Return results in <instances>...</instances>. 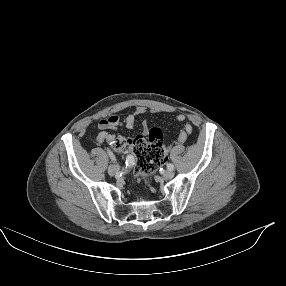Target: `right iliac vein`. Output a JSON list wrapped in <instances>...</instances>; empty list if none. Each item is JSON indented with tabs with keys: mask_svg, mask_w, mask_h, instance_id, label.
<instances>
[{
	"mask_svg": "<svg viewBox=\"0 0 286 286\" xmlns=\"http://www.w3.org/2000/svg\"><path fill=\"white\" fill-rule=\"evenodd\" d=\"M119 170H120L119 165H111L108 168V173H109V175L114 176L119 172Z\"/></svg>",
	"mask_w": 286,
	"mask_h": 286,
	"instance_id": "right-iliac-vein-1",
	"label": "right iliac vein"
}]
</instances>
